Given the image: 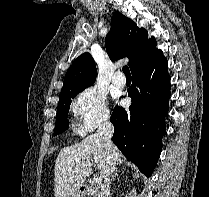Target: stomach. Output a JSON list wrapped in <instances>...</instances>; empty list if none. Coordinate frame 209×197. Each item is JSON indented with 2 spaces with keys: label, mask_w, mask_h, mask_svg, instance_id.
<instances>
[{
  "label": "stomach",
  "mask_w": 209,
  "mask_h": 197,
  "mask_svg": "<svg viewBox=\"0 0 209 197\" xmlns=\"http://www.w3.org/2000/svg\"><path fill=\"white\" fill-rule=\"evenodd\" d=\"M69 197H81V194L79 192H75L72 195H70Z\"/></svg>",
  "instance_id": "0dacf381"
}]
</instances>
